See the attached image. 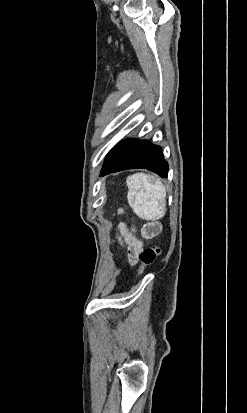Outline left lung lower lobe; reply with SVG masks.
<instances>
[{"instance_id": "left-lung-lower-lobe-1", "label": "left lung lower lobe", "mask_w": 247, "mask_h": 413, "mask_svg": "<svg viewBox=\"0 0 247 413\" xmlns=\"http://www.w3.org/2000/svg\"><path fill=\"white\" fill-rule=\"evenodd\" d=\"M136 168L148 169L163 178L168 176V163L161 148L147 140L136 139L123 140L108 153L101 176Z\"/></svg>"}]
</instances>
